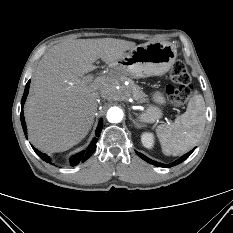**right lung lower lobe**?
Wrapping results in <instances>:
<instances>
[{"instance_id": "obj_1", "label": "right lung lower lobe", "mask_w": 233, "mask_h": 233, "mask_svg": "<svg viewBox=\"0 0 233 233\" xmlns=\"http://www.w3.org/2000/svg\"><path fill=\"white\" fill-rule=\"evenodd\" d=\"M29 86H30V80L26 84L25 91H24V94H23V97L21 100V114H20L22 127H23V130H24L26 137H27V128H26V123H25L24 114H23V106H24L26 97L28 95ZM102 126H103V121L100 120L98 127L96 129V137L92 140V142L90 143L88 148L85 150V152L83 151V152L78 153L76 155H73L71 157V159H70L71 166L77 165L80 161H82V162L86 161L91 156V154L95 151L96 143L98 141L97 137H99V134L102 130ZM33 149L42 160H45L46 162L51 163L50 157L48 155L41 153L39 150H37L35 148H33Z\"/></svg>"}]
</instances>
